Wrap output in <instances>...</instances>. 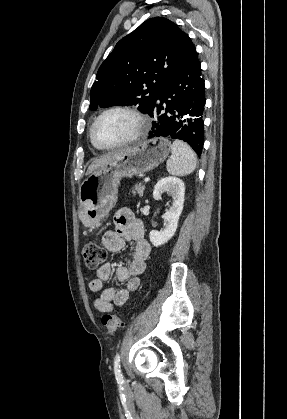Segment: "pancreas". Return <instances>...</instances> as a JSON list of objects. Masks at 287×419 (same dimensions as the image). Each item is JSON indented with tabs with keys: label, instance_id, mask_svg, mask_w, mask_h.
I'll list each match as a JSON object with an SVG mask.
<instances>
[{
	"label": "pancreas",
	"instance_id": "1",
	"mask_svg": "<svg viewBox=\"0 0 287 419\" xmlns=\"http://www.w3.org/2000/svg\"><path fill=\"white\" fill-rule=\"evenodd\" d=\"M144 190H145V186L143 184H141V183L140 184H136L134 186V188L132 189V194L133 195H136V193H137V194H139V196H142Z\"/></svg>",
	"mask_w": 287,
	"mask_h": 419
}]
</instances>
